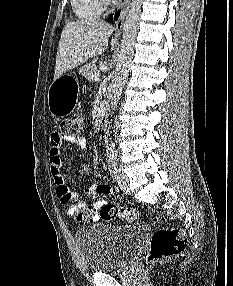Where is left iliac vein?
Listing matches in <instances>:
<instances>
[{
	"instance_id": "1",
	"label": "left iliac vein",
	"mask_w": 233,
	"mask_h": 286,
	"mask_svg": "<svg viewBox=\"0 0 233 286\" xmlns=\"http://www.w3.org/2000/svg\"><path fill=\"white\" fill-rule=\"evenodd\" d=\"M114 175L120 189L127 193L129 186L128 176L123 172L121 168H115Z\"/></svg>"
}]
</instances>
